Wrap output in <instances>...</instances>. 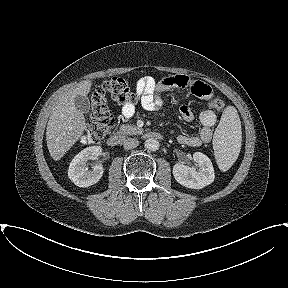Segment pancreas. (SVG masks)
Listing matches in <instances>:
<instances>
[{
    "mask_svg": "<svg viewBox=\"0 0 288 288\" xmlns=\"http://www.w3.org/2000/svg\"><path fill=\"white\" fill-rule=\"evenodd\" d=\"M142 132V129L129 124H122L119 128V133L123 135H136Z\"/></svg>",
    "mask_w": 288,
    "mask_h": 288,
    "instance_id": "cf45deb5",
    "label": "pancreas"
}]
</instances>
